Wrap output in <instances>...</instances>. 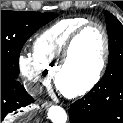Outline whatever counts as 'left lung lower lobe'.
I'll return each instance as SVG.
<instances>
[{
  "label": "left lung lower lobe",
  "instance_id": "0a47b994",
  "mask_svg": "<svg viewBox=\"0 0 123 123\" xmlns=\"http://www.w3.org/2000/svg\"><path fill=\"white\" fill-rule=\"evenodd\" d=\"M70 107V123H123V79L110 86L97 83Z\"/></svg>",
  "mask_w": 123,
  "mask_h": 123
}]
</instances>
